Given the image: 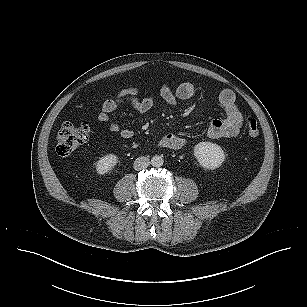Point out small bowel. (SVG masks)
<instances>
[{
  "instance_id": "obj_1",
  "label": "small bowel",
  "mask_w": 307,
  "mask_h": 307,
  "mask_svg": "<svg viewBox=\"0 0 307 307\" xmlns=\"http://www.w3.org/2000/svg\"><path fill=\"white\" fill-rule=\"evenodd\" d=\"M194 93L195 87L190 82L181 83L176 90H172L167 85L159 89V95L171 105L178 101L191 99ZM218 101L225 111V118L213 119L207 133L213 139L236 137L243 124V116L236 105L235 94L229 89L222 90L219 93ZM123 104L129 105L139 113H147L154 107L155 97L153 94L140 97V91L130 87L118 90L113 98L103 102L97 116L98 121L106 125L111 132L117 133L121 138L127 140L132 137V131L121 129L110 118V114ZM159 145L163 148L178 150L185 145V139L174 134H167L160 139Z\"/></svg>"
}]
</instances>
